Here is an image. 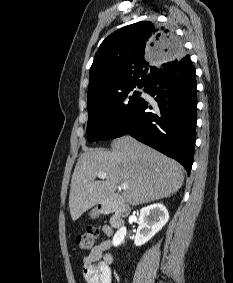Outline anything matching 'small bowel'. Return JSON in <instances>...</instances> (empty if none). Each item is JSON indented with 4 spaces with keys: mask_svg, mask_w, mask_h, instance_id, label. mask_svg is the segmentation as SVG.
Here are the masks:
<instances>
[{
    "mask_svg": "<svg viewBox=\"0 0 233 283\" xmlns=\"http://www.w3.org/2000/svg\"><path fill=\"white\" fill-rule=\"evenodd\" d=\"M107 235L111 234L109 227H104ZM111 241L104 240L94 246L90 253L83 259L82 274L85 283H111L113 255L108 252L111 248Z\"/></svg>",
    "mask_w": 233,
    "mask_h": 283,
    "instance_id": "1",
    "label": "small bowel"
}]
</instances>
